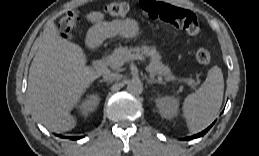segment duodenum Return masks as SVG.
Listing matches in <instances>:
<instances>
[{
  "mask_svg": "<svg viewBox=\"0 0 259 156\" xmlns=\"http://www.w3.org/2000/svg\"><path fill=\"white\" fill-rule=\"evenodd\" d=\"M93 66L96 69H104L106 66V60L105 57H101L93 62Z\"/></svg>",
  "mask_w": 259,
  "mask_h": 156,
  "instance_id": "1",
  "label": "duodenum"
}]
</instances>
